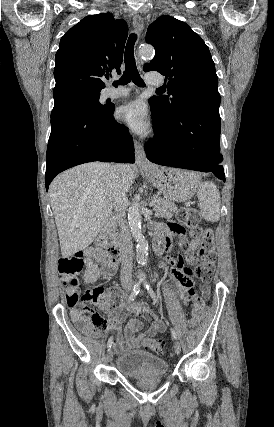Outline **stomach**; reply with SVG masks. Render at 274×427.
I'll return each mask as SVG.
<instances>
[{"label":"stomach","mask_w":274,"mask_h":427,"mask_svg":"<svg viewBox=\"0 0 274 427\" xmlns=\"http://www.w3.org/2000/svg\"><path fill=\"white\" fill-rule=\"evenodd\" d=\"M150 184L158 188L165 198L171 202H187L197 192L201 178L195 172L175 170V168H161L152 166L150 172H144Z\"/></svg>","instance_id":"0dacf381"}]
</instances>
